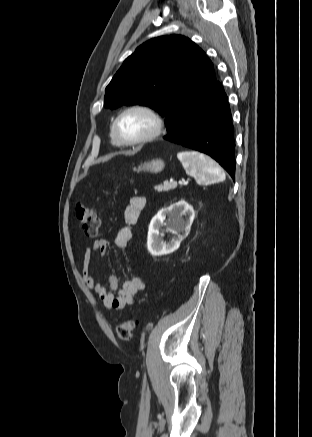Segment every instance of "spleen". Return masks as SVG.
<instances>
[{
	"label": "spleen",
	"mask_w": 312,
	"mask_h": 437,
	"mask_svg": "<svg viewBox=\"0 0 312 437\" xmlns=\"http://www.w3.org/2000/svg\"><path fill=\"white\" fill-rule=\"evenodd\" d=\"M177 158L181 162L186 173L199 183L213 184L225 180L222 168L210 157L196 152H179Z\"/></svg>",
	"instance_id": "obj_1"
}]
</instances>
